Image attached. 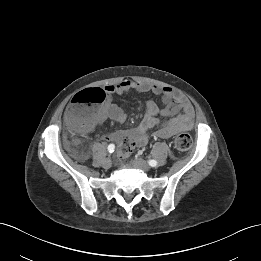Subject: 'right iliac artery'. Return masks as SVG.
<instances>
[{"label":"right iliac artery","mask_w":261,"mask_h":261,"mask_svg":"<svg viewBox=\"0 0 261 261\" xmlns=\"http://www.w3.org/2000/svg\"><path fill=\"white\" fill-rule=\"evenodd\" d=\"M107 149H108L109 153H112L115 150V145L114 144H110Z\"/></svg>","instance_id":"obj_1"}]
</instances>
